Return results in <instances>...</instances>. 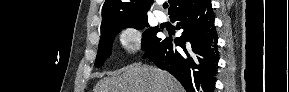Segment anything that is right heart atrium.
Segmentation results:
<instances>
[{"instance_id": "d8ad5b80", "label": "right heart atrium", "mask_w": 289, "mask_h": 92, "mask_svg": "<svg viewBox=\"0 0 289 92\" xmlns=\"http://www.w3.org/2000/svg\"><path fill=\"white\" fill-rule=\"evenodd\" d=\"M120 47L127 55H134L139 52L143 45V32L136 26H126L118 33Z\"/></svg>"}]
</instances>
